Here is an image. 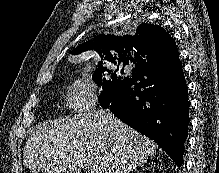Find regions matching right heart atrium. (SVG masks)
Segmentation results:
<instances>
[{
  "instance_id": "right-heart-atrium-1",
  "label": "right heart atrium",
  "mask_w": 219,
  "mask_h": 173,
  "mask_svg": "<svg viewBox=\"0 0 219 173\" xmlns=\"http://www.w3.org/2000/svg\"><path fill=\"white\" fill-rule=\"evenodd\" d=\"M69 107L76 113L86 114L99 103V92L89 83L74 81L66 92Z\"/></svg>"
}]
</instances>
